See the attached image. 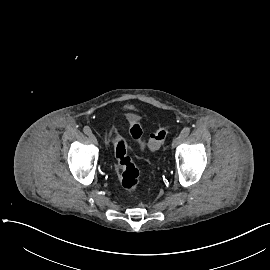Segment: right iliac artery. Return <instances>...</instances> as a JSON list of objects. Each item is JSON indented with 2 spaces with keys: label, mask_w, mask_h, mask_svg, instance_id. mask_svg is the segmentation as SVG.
I'll use <instances>...</instances> for the list:
<instances>
[{
  "label": "right iliac artery",
  "mask_w": 270,
  "mask_h": 270,
  "mask_svg": "<svg viewBox=\"0 0 270 270\" xmlns=\"http://www.w3.org/2000/svg\"><path fill=\"white\" fill-rule=\"evenodd\" d=\"M83 131H84V133L87 134V135H90V134L92 133L90 127H88V126H85V127L83 128Z\"/></svg>",
  "instance_id": "82829eb1"
}]
</instances>
